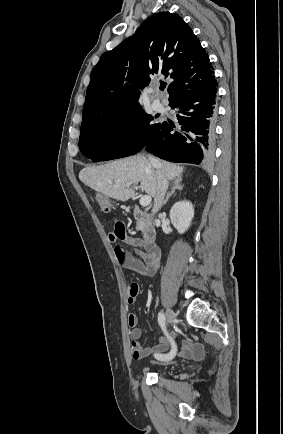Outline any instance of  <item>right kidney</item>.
<instances>
[{
	"mask_svg": "<svg viewBox=\"0 0 283 434\" xmlns=\"http://www.w3.org/2000/svg\"><path fill=\"white\" fill-rule=\"evenodd\" d=\"M193 217L194 209L188 201L176 202L170 210L171 223L180 234L190 227Z\"/></svg>",
	"mask_w": 283,
	"mask_h": 434,
	"instance_id": "obj_1",
	"label": "right kidney"
}]
</instances>
